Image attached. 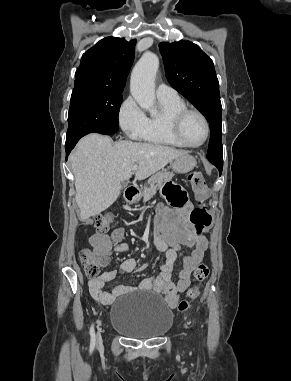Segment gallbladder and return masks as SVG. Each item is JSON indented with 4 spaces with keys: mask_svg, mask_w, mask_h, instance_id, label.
<instances>
[{
    "mask_svg": "<svg viewBox=\"0 0 291 381\" xmlns=\"http://www.w3.org/2000/svg\"><path fill=\"white\" fill-rule=\"evenodd\" d=\"M125 186H126V183H123V184H122V187H125Z\"/></svg>",
    "mask_w": 291,
    "mask_h": 381,
    "instance_id": "1",
    "label": "gallbladder"
}]
</instances>
